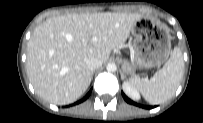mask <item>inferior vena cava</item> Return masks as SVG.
<instances>
[{"instance_id": "obj_1", "label": "inferior vena cava", "mask_w": 203, "mask_h": 123, "mask_svg": "<svg viewBox=\"0 0 203 123\" xmlns=\"http://www.w3.org/2000/svg\"><path fill=\"white\" fill-rule=\"evenodd\" d=\"M86 66L90 71H94L95 69L102 66V62L96 58H90L86 60Z\"/></svg>"}]
</instances>
